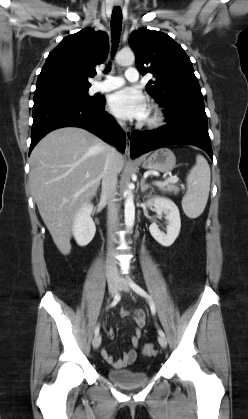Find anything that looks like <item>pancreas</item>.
Returning a JSON list of instances; mask_svg holds the SVG:
<instances>
[{
    "instance_id": "cf45deb5",
    "label": "pancreas",
    "mask_w": 248,
    "mask_h": 419,
    "mask_svg": "<svg viewBox=\"0 0 248 419\" xmlns=\"http://www.w3.org/2000/svg\"><path fill=\"white\" fill-rule=\"evenodd\" d=\"M162 190L163 191H166V189H164V188H162ZM167 190L168 191H174L175 194H177V192L179 191V189L176 186H174L173 184L172 185H169L167 187Z\"/></svg>"
}]
</instances>
